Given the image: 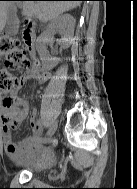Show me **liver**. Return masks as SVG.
I'll return each instance as SVG.
<instances>
[{"label": "liver", "mask_w": 137, "mask_h": 189, "mask_svg": "<svg viewBox=\"0 0 137 189\" xmlns=\"http://www.w3.org/2000/svg\"><path fill=\"white\" fill-rule=\"evenodd\" d=\"M13 4L15 3L10 1H0V32L7 22V9ZM79 5L80 1H23L22 14L29 18L35 16L41 22L46 23Z\"/></svg>", "instance_id": "obj_1"}]
</instances>
